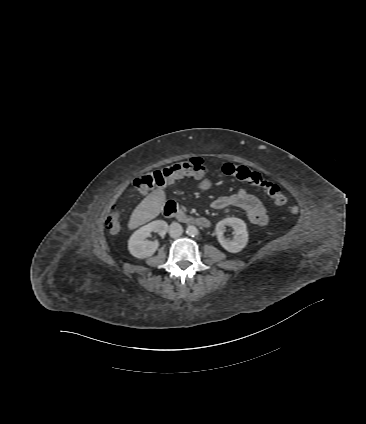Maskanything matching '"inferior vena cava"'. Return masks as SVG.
<instances>
[{"mask_svg":"<svg viewBox=\"0 0 366 424\" xmlns=\"http://www.w3.org/2000/svg\"><path fill=\"white\" fill-rule=\"evenodd\" d=\"M182 233H183V228L179 223L177 222L171 223V225L169 226V234L172 238H177L181 236Z\"/></svg>","mask_w":366,"mask_h":424,"instance_id":"602c4592","label":"inferior vena cava"}]
</instances>
